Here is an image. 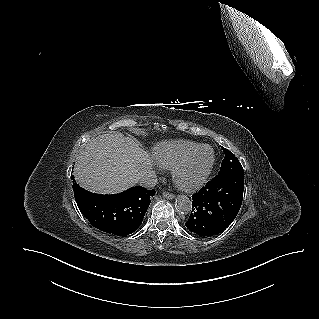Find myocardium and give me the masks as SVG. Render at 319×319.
Segmentation results:
<instances>
[{
  "label": "myocardium",
  "instance_id": "1",
  "mask_svg": "<svg viewBox=\"0 0 319 319\" xmlns=\"http://www.w3.org/2000/svg\"><path fill=\"white\" fill-rule=\"evenodd\" d=\"M202 148H209L212 152V159L209 165L207 166L203 174L197 180L192 182L184 181L182 176L186 167L191 162V160L195 157V155L199 152V150H201ZM215 162H216V154L214 149L210 145L201 144L198 147H196L194 150H192L190 153H188L185 157H183L180 160V162L173 168V171H172L173 181L183 191H187V192L196 191L207 183L213 171Z\"/></svg>",
  "mask_w": 319,
  "mask_h": 319
}]
</instances>
